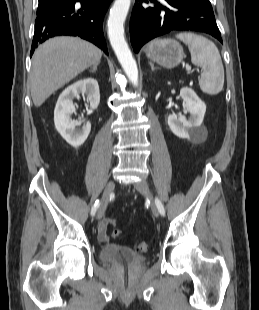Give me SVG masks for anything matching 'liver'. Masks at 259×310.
Instances as JSON below:
<instances>
[{"label":"liver","mask_w":259,"mask_h":310,"mask_svg":"<svg viewBox=\"0 0 259 310\" xmlns=\"http://www.w3.org/2000/svg\"><path fill=\"white\" fill-rule=\"evenodd\" d=\"M102 51L78 37H54L35 51L30 75L31 96L40 107L56 90L100 62Z\"/></svg>","instance_id":"1"}]
</instances>
